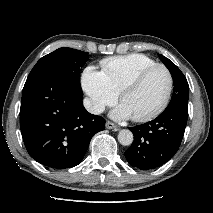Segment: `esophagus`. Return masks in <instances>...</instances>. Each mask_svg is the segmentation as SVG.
Returning <instances> with one entry per match:
<instances>
[{"label": "esophagus", "mask_w": 213, "mask_h": 213, "mask_svg": "<svg viewBox=\"0 0 213 213\" xmlns=\"http://www.w3.org/2000/svg\"><path fill=\"white\" fill-rule=\"evenodd\" d=\"M106 128L107 129H113L114 131L119 130V127L116 124H114L113 122H110V121L106 122Z\"/></svg>", "instance_id": "1"}]
</instances>
